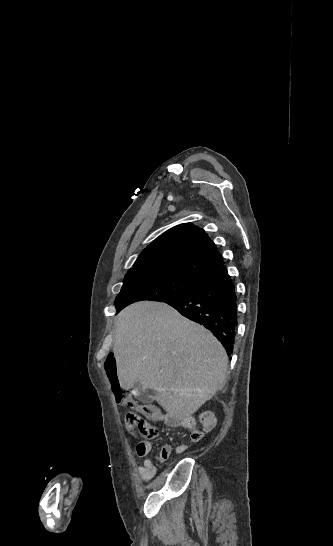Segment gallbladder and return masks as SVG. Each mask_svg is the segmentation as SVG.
Listing matches in <instances>:
<instances>
[{
	"mask_svg": "<svg viewBox=\"0 0 333 546\" xmlns=\"http://www.w3.org/2000/svg\"><path fill=\"white\" fill-rule=\"evenodd\" d=\"M134 388L137 389V392H138V396L147 401V402H152L153 398L151 396H145L142 391H141V384L140 382H136L135 385H134Z\"/></svg>",
	"mask_w": 333,
	"mask_h": 546,
	"instance_id": "1",
	"label": "gallbladder"
}]
</instances>
